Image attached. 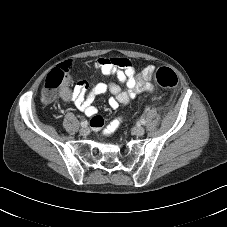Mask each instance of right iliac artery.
<instances>
[{
    "label": "right iliac artery",
    "mask_w": 227,
    "mask_h": 227,
    "mask_svg": "<svg viewBox=\"0 0 227 227\" xmlns=\"http://www.w3.org/2000/svg\"><path fill=\"white\" fill-rule=\"evenodd\" d=\"M87 125H88L87 121H85V120L81 121V126L82 127H86Z\"/></svg>",
    "instance_id": "right-iliac-artery-1"
}]
</instances>
